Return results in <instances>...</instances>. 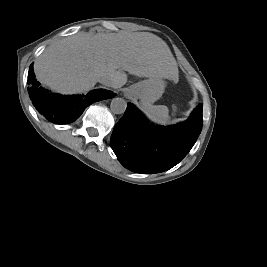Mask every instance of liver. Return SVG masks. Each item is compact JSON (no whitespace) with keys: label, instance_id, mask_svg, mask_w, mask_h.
<instances>
[{"label":"liver","instance_id":"6515ba94","mask_svg":"<svg viewBox=\"0 0 267 267\" xmlns=\"http://www.w3.org/2000/svg\"><path fill=\"white\" fill-rule=\"evenodd\" d=\"M138 77L176 80L178 67L168 45L149 32H79L49 45L34 63L37 80L62 94L92 89L102 76L113 88Z\"/></svg>","mask_w":267,"mask_h":267}]
</instances>
